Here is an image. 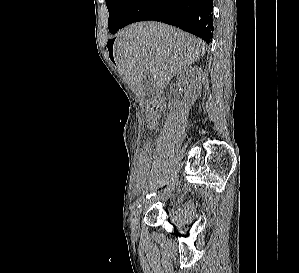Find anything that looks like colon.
<instances>
[{
    "instance_id": "1",
    "label": "colon",
    "mask_w": 299,
    "mask_h": 273,
    "mask_svg": "<svg viewBox=\"0 0 299 273\" xmlns=\"http://www.w3.org/2000/svg\"><path fill=\"white\" fill-rule=\"evenodd\" d=\"M142 149L145 150V151H151L152 149V143L150 140L146 139L143 141V144H142Z\"/></svg>"
}]
</instances>
